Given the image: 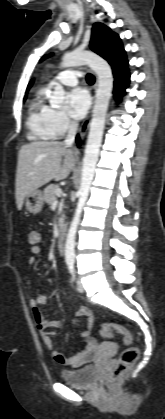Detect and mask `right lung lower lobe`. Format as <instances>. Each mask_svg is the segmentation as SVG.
I'll use <instances>...</instances> for the list:
<instances>
[{"label":"right lung lower lobe","instance_id":"98d812e1","mask_svg":"<svg viewBox=\"0 0 165 419\" xmlns=\"http://www.w3.org/2000/svg\"><path fill=\"white\" fill-rule=\"evenodd\" d=\"M77 143L79 144L80 142H79V138L77 137Z\"/></svg>","mask_w":165,"mask_h":419}]
</instances>
